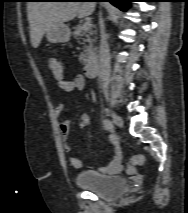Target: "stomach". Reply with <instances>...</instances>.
I'll list each match as a JSON object with an SVG mask.
<instances>
[{"instance_id": "obj_1", "label": "stomach", "mask_w": 188, "mask_h": 213, "mask_svg": "<svg viewBox=\"0 0 188 213\" xmlns=\"http://www.w3.org/2000/svg\"><path fill=\"white\" fill-rule=\"evenodd\" d=\"M45 33L50 43H66L71 37L70 29L64 23L52 26Z\"/></svg>"}]
</instances>
